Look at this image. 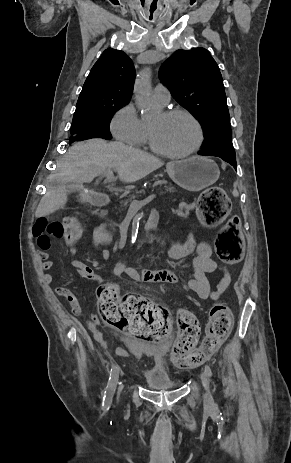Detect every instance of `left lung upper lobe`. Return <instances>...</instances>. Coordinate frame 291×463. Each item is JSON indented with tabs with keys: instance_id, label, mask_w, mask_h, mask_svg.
<instances>
[{
	"instance_id": "1",
	"label": "left lung upper lobe",
	"mask_w": 291,
	"mask_h": 463,
	"mask_svg": "<svg viewBox=\"0 0 291 463\" xmlns=\"http://www.w3.org/2000/svg\"><path fill=\"white\" fill-rule=\"evenodd\" d=\"M159 76L174 99L202 125L205 140L199 152L235 157L223 79L209 51L177 50L163 63Z\"/></svg>"
}]
</instances>
